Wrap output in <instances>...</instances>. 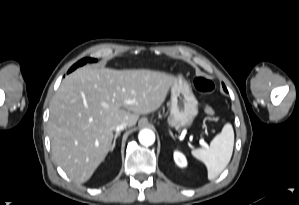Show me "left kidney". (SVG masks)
I'll return each instance as SVG.
<instances>
[{"instance_id": "5707ae66", "label": "left kidney", "mask_w": 299, "mask_h": 205, "mask_svg": "<svg viewBox=\"0 0 299 205\" xmlns=\"http://www.w3.org/2000/svg\"><path fill=\"white\" fill-rule=\"evenodd\" d=\"M174 161L179 167H186L187 166V160L186 157L179 151H175L173 154Z\"/></svg>"}]
</instances>
